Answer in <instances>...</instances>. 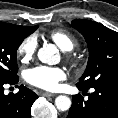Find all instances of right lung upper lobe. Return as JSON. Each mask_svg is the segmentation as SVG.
<instances>
[{"label":"right lung upper lobe","mask_w":118,"mask_h":118,"mask_svg":"<svg viewBox=\"0 0 118 118\" xmlns=\"http://www.w3.org/2000/svg\"><path fill=\"white\" fill-rule=\"evenodd\" d=\"M13 25V24H12ZM19 31L26 33L28 35L32 34L38 26H19V25H14Z\"/></svg>","instance_id":"1"}]
</instances>
